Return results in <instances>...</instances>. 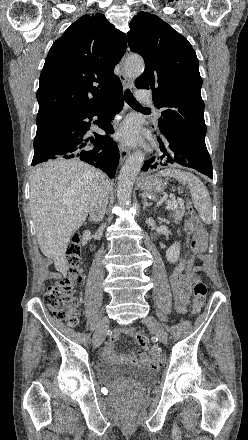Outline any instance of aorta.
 Here are the masks:
<instances>
[{"mask_svg": "<svg viewBox=\"0 0 248 440\" xmlns=\"http://www.w3.org/2000/svg\"><path fill=\"white\" fill-rule=\"evenodd\" d=\"M125 71L131 77H139L144 71V61L139 56L128 57L125 61ZM144 162V153L142 151L134 152L125 162L118 176L117 199L123 206H129L134 182L142 168Z\"/></svg>", "mask_w": 248, "mask_h": 440, "instance_id": "1", "label": "aorta"}]
</instances>
